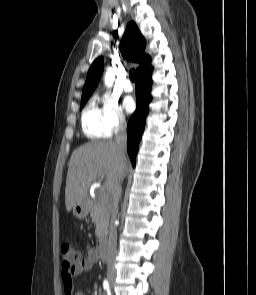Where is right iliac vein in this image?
<instances>
[{
  "mask_svg": "<svg viewBox=\"0 0 256 295\" xmlns=\"http://www.w3.org/2000/svg\"><path fill=\"white\" fill-rule=\"evenodd\" d=\"M107 278H108L110 286L113 287V285L115 283V274L109 273Z\"/></svg>",
  "mask_w": 256,
  "mask_h": 295,
  "instance_id": "63e3f726",
  "label": "right iliac vein"
}]
</instances>
